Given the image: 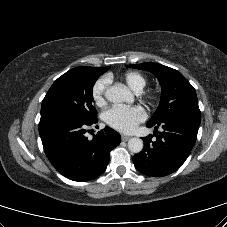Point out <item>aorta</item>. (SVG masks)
I'll return each instance as SVG.
<instances>
[{"label":"aorta","instance_id":"1","mask_svg":"<svg viewBox=\"0 0 227 227\" xmlns=\"http://www.w3.org/2000/svg\"><path fill=\"white\" fill-rule=\"evenodd\" d=\"M105 97L112 103H122L131 97L126 87L114 85L109 87L105 92ZM128 149L133 153H139L143 149V141L140 138L133 137L128 141Z\"/></svg>","mask_w":227,"mask_h":227}]
</instances>
